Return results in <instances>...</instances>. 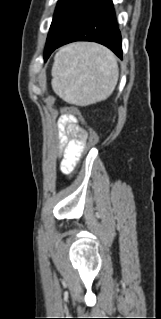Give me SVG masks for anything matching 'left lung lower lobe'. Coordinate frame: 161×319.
Instances as JSON below:
<instances>
[{
    "label": "left lung lower lobe",
    "mask_w": 161,
    "mask_h": 319,
    "mask_svg": "<svg viewBox=\"0 0 161 319\" xmlns=\"http://www.w3.org/2000/svg\"><path fill=\"white\" fill-rule=\"evenodd\" d=\"M75 41L100 43L122 58L121 34L116 22L112 0H102L65 36L49 46L44 52L45 60L58 47Z\"/></svg>",
    "instance_id": "0a47b994"
}]
</instances>
